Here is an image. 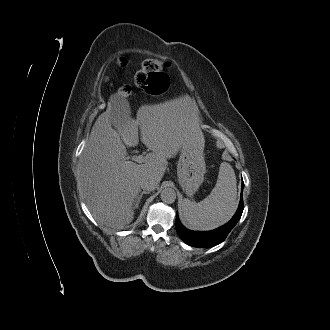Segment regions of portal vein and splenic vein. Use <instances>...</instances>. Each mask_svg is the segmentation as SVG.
<instances>
[{"mask_svg": "<svg viewBox=\"0 0 330 330\" xmlns=\"http://www.w3.org/2000/svg\"><path fill=\"white\" fill-rule=\"evenodd\" d=\"M134 161L138 162V163H142L144 162V157L143 155H138L134 157Z\"/></svg>", "mask_w": 330, "mask_h": 330, "instance_id": "obj_1", "label": "portal vein and splenic vein"}]
</instances>
